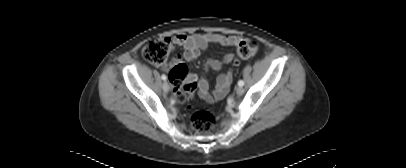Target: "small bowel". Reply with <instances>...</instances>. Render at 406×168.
Returning a JSON list of instances; mask_svg holds the SVG:
<instances>
[{
    "instance_id": "c3829d8e",
    "label": "small bowel",
    "mask_w": 406,
    "mask_h": 168,
    "mask_svg": "<svg viewBox=\"0 0 406 168\" xmlns=\"http://www.w3.org/2000/svg\"><path fill=\"white\" fill-rule=\"evenodd\" d=\"M242 41V38L235 35H222L218 33H204L185 35L179 34L174 37L173 44L183 49L182 54H176L172 60L163 64V69L166 71L172 70V68L182 63L183 61L196 60L201 51L206 50L210 45H219L223 47H236ZM234 56L231 53L225 54L222 59L209 58L206 61V68L208 70L218 71L224 64H229L233 61ZM233 72L231 70L220 74L217 77L216 87L212 93L209 92V86L206 80L198 79L195 74L188 72L185 76L187 82H195L198 84L199 95L206 102L212 103L214 101L221 100L230 87L232 82Z\"/></svg>"
}]
</instances>
